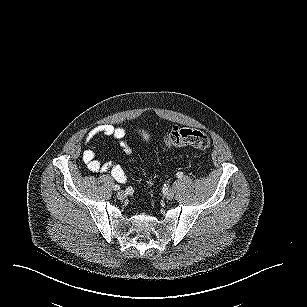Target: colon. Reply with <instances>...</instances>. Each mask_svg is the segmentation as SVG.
Returning a JSON list of instances; mask_svg holds the SVG:
<instances>
[{"mask_svg": "<svg viewBox=\"0 0 307 307\" xmlns=\"http://www.w3.org/2000/svg\"><path fill=\"white\" fill-rule=\"evenodd\" d=\"M211 141L207 134L200 130L177 128L170 132L164 139L163 146L167 149L176 147H194L206 150Z\"/></svg>", "mask_w": 307, "mask_h": 307, "instance_id": "1", "label": "colon"}]
</instances>
